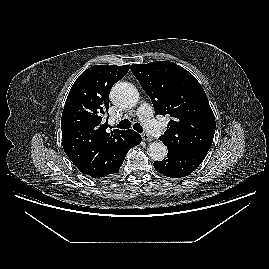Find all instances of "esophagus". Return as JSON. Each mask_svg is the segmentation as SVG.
Listing matches in <instances>:
<instances>
[{"instance_id": "34e87169", "label": "esophagus", "mask_w": 269, "mask_h": 269, "mask_svg": "<svg viewBox=\"0 0 269 269\" xmlns=\"http://www.w3.org/2000/svg\"><path fill=\"white\" fill-rule=\"evenodd\" d=\"M141 137L144 141H151L152 138L147 133H142Z\"/></svg>"}]
</instances>
